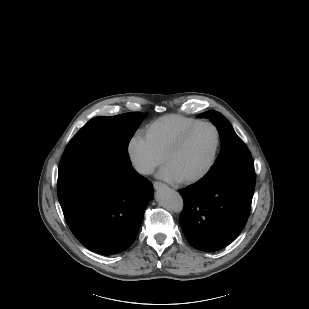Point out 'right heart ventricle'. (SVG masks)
<instances>
[{
	"label": "right heart ventricle",
	"instance_id": "obj_1",
	"mask_svg": "<svg viewBox=\"0 0 309 309\" xmlns=\"http://www.w3.org/2000/svg\"><path fill=\"white\" fill-rule=\"evenodd\" d=\"M200 119L180 114H168L152 121L145 129V137L165 157L174 140Z\"/></svg>",
	"mask_w": 309,
	"mask_h": 309
}]
</instances>
